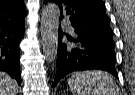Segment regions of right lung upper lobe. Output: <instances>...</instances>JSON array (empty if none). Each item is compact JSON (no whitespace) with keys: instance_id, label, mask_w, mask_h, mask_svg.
<instances>
[{"instance_id":"cb5924a9","label":"right lung upper lobe","mask_w":135,"mask_h":95,"mask_svg":"<svg viewBox=\"0 0 135 95\" xmlns=\"http://www.w3.org/2000/svg\"><path fill=\"white\" fill-rule=\"evenodd\" d=\"M25 13L24 0H0V20H18Z\"/></svg>"}]
</instances>
